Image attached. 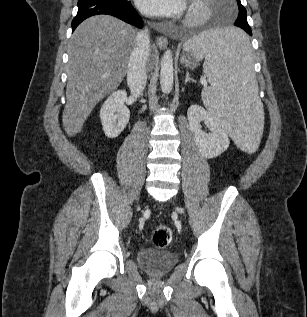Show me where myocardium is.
<instances>
[{"instance_id":"1","label":"myocardium","mask_w":307,"mask_h":317,"mask_svg":"<svg viewBox=\"0 0 307 317\" xmlns=\"http://www.w3.org/2000/svg\"><path fill=\"white\" fill-rule=\"evenodd\" d=\"M208 0H193L185 16L184 22L187 25H199L208 20L211 8Z\"/></svg>"}]
</instances>
